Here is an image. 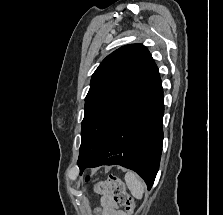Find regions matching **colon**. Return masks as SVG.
I'll use <instances>...</instances> for the list:
<instances>
[{
	"label": "colon",
	"mask_w": 223,
	"mask_h": 215,
	"mask_svg": "<svg viewBox=\"0 0 223 215\" xmlns=\"http://www.w3.org/2000/svg\"><path fill=\"white\" fill-rule=\"evenodd\" d=\"M109 183L113 187L112 198L116 204L122 205L128 214L134 211V201L127 192L123 181L115 174H110Z\"/></svg>",
	"instance_id": "5ec220e1"
}]
</instances>
